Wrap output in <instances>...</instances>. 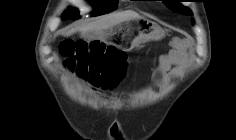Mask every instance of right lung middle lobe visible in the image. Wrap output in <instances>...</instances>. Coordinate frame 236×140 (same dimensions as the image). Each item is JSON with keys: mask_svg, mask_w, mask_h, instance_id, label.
I'll list each match as a JSON object with an SVG mask.
<instances>
[{"mask_svg": "<svg viewBox=\"0 0 236 140\" xmlns=\"http://www.w3.org/2000/svg\"><path fill=\"white\" fill-rule=\"evenodd\" d=\"M118 0H91V3L94 5L95 11L93 16H99L106 13H109L116 9ZM99 8H102L100 11ZM78 13L72 8H69L68 11L63 13V19L77 18Z\"/></svg>", "mask_w": 236, "mask_h": 140, "instance_id": "1", "label": "right lung middle lobe"}]
</instances>
